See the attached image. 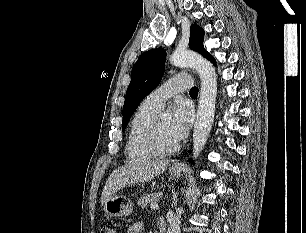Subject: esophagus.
<instances>
[{
    "label": "esophagus",
    "instance_id": "1",
    "mask_svg": "<svg viewBox=\"0 0 306 233\" xmlns=\"http://www.w3.org/2000/svg\"><path fill=\"white\" fill-rule=\"evenodd\" d=\"M180 166H181L180 164H175V165H174V167H180Z\"/></svg>",
    "mask_w": 306,
    "mask_h": 233
}]
</instances>
